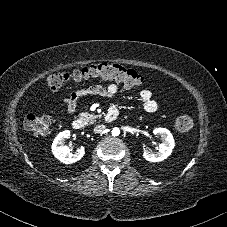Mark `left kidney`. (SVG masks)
Listing matches in <instances>:
<instances>
[{
    "label": "left kidney",
    "mask_w": 227,
    "mask_h": 227,
    "mask_svg": "<svg viewBox=\"0 0 227 227\" xmlns=\"http://www.w3.org/2000/svg\"><path fill=\"white\" fill-rule=\"evenodd\" d=\"M153 133L161 138L162 144L157 152L144 149L143 157L150 162H160L171 155L175 142L171 132L166 128H155Z\"/></svg>",
    "instance_id": "obj_1"
}]
</instances>
